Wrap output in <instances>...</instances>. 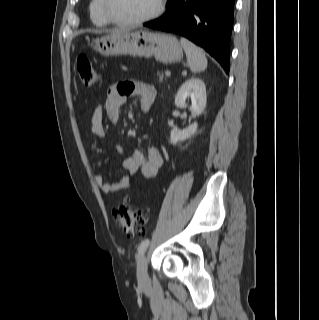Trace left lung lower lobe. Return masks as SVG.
<instances>
[{
	"mask_svg": "<svg viewBox=\"0 0 319 320\" xmlns=\"http://www.w3.org/2000/svg\"><path fill=\"white\" fill-rule=\"evenodd\" d=\"M234 3L235 0H168L166 13L144 26L188 38L229 73Z\"/></svg>",
	"mask_w": 319,
	"mask_h": 320,
	"instance_id": "obj_1",
	"label": "left lung lower lobe"
}]
</instances>
